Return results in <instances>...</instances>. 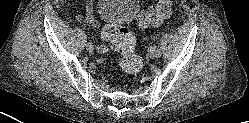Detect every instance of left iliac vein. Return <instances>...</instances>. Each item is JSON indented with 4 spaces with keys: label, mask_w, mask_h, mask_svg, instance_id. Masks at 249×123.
I'll return each mask as SVG.
<instances>
[{
    "label": "left iliac vein",
    "mask_w": 249,
    "mask_h": 123,
    "mask_svg": "<svg viewBox=\"0 0 249 123\" xmlns=\"http://www.w3.org/2000/svg\"><path fill=\"white\" fill-rule=\"evenodd\" d=\"M156 48L155 47H151L150 49H149V51H148V53H149V57L150 58H156Z\"/></svg>",
    "instance_id": "1"
}]
</instances>
